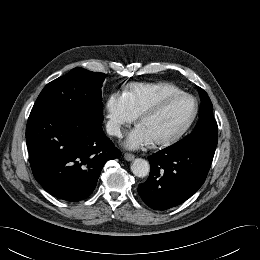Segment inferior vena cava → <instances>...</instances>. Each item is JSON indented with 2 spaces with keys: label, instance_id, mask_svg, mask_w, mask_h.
I'll return each mask as SVG.
<instances>
[{
  "label": "inferior vena cava",
  "instance_id": "inferior-vena-cava-1",
  "mask_svg": "<svg viewBox=\"0 0 260 260\" xmlns=\"http://www.w3.org/2000/svg\"><path fill=\"white\" fill-rule=\"evenodd\" d=\"M106 131L109 135L121 137L120 125L115 121H108L106 124Z\"/></svg>",
  "mask_w": 260,
  "mask_h": 260
}]
</instances>
